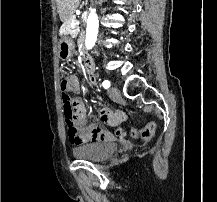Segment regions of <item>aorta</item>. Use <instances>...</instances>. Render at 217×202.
Listing matches in <instances>:
<instances>
[{
  "instance_id": "762f6f07",
  "label": "aorta",
  "mask_w": 217,
  "mask_h": 202,
  "mask_svg": "<svg viewBox=\"0 0 217 202\" xmlns=\"http://www.w3.org/2000/svg\"><path fill=\"white\" fill-rule=\"evenodd\" d=\"M99 28V20L95 10H90V14L87 18V28H86V40L85 46L86 50H92L95 46L97 40Z\"/></svg>"
}]
</instances>
